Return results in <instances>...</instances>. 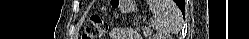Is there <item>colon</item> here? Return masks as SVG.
Returning <instances> with one entry per match:
<instances>
[{"label":"colon","mask_w":249,"mask_h":39,"mask_svg":"<svg viewBox=\"0 0 249 39\" xmlns=\"http://www.w3.org/2000/svg\"><path fill=\"white\" fill-rule=\"evenodd\" d=\"M108 29V22L100 14L92 15L83 26V39L102 38Z\"/></svg>","instance_id":"5ec220e1"}]
</instances>
